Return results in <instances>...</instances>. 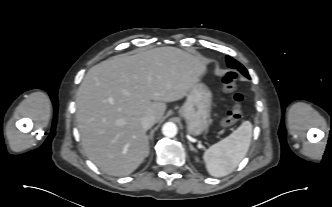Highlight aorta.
Returning <instances> with one entry per match:
<instances>
[{
	"label": "aorta",
	"instance_id": "aorta-1",
	"mask_svg": "<svg viewBox=\"0 0 332 207\" xmlns=\"http://www.w3.org/2000/svg\"><path fill=\"white\" fill-rule=\"evenodd\" d=\"M162 133L166 137H174L177 134V126L173 122H167L162 127Z\"/></svg>",
	"mask_w": 332,
	"mask_h": 207
}]
</instances>
